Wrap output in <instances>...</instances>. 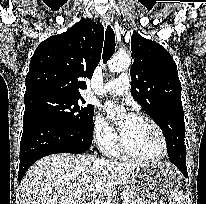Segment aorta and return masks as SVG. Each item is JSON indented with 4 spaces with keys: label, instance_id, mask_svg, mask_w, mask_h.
Wrapping results in <instances>:
<instances>
[{
    "label": "aorta",
    "instance_id": "obj_1",
    "mask_svg": "<svg viewBox=\"0 0 206 204\" xmlns=\"http://www.w3.org/2000/svg\"><path fill=\"white\" fill-rule=\"evenodd\" d=\"M131 64V58L128 54L117 53L109 61L108 67L111 72H121L128 69ZM124 113L123 110L118 111L117 116L120 117Z\"/></svg>",
    "mask_w": 206,
    "mask_h": 204
}]
</instances>
